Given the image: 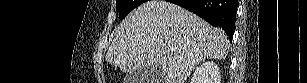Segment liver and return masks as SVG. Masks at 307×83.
<instances>
[{
    "instance_id": "1",
    "label": "liver",
    "mask_w": 307,
    "mask_h": 83,
    "mask_svg": "<svg viewBox=\"0 0 307 83\" xmlns=\"http://www.w3.org/2000/svg\"><path fill=\"white\" fill-rule=\"evenodd\" d=\"M228 50L222 29L180 6L150 0L115 29L106 61L126 73L155 66L163 72L162 83H185L197 64L222 60Z\"/></svg>"
}]
</instances>
